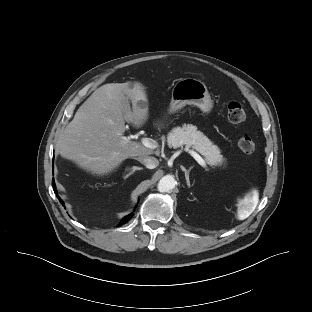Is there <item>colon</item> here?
<instances>
[{"mask_svg":"<svg viewBox=\"0 0 312 312\" xmlns=\"http://www.w3.org/2000/svg\"><path fill=\"white\" fill-rule=\"evenodd\" d=\"M227 118L233 124L242 123L246 118L243 106L239 102H230L227 106ZM239 148L246 154H251L255 150V142L251 136L245 134L238 142Z\"/></svg>","mask_w":312,"mask_h":312,"instance_id":"colon-1","label":"colon"}]
</instances>
